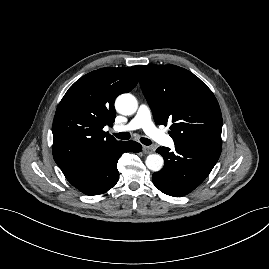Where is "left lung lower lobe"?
<instances>
[{"mask_svg":"<svg viewBox=\"0 0 269 269\" xmlns=\"http://www.w3.org/2000/svg\"><path fill=\"white\" fill-rule=\"evenodd\" d=\"M165 160L161 171L152 175L153 184L163 193L181 197L198 187L209 175L221 149L198 144H175V150H156Z\"/></svg>","mask_w":269,"mask_h":269,"instance_id":"1","label":"left lung lower lobe"}]
</instances>
